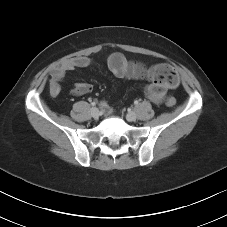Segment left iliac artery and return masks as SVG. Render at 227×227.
Returning <instances> with one entry per match:
<instances>
[{
	"label": "left iliac artery",
	"mask_w": 227,
	"mask_h": 227,
	"mask_svg": "<svg viewBox=\"0 0 227 227\" xmlns=\"http://www.w3.org/2000/svg\"><path fill=\"white\" fill-rule=\"evenodd\" d=\"M134 104H135V105H137V104H138V101H137V100H136V101H134Z\"/></svg>",
	"instance_id": "obj_1"
}]
</instances>
